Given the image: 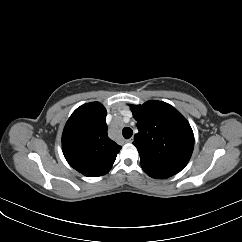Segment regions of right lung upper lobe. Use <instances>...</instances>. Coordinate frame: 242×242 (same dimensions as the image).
I'll return each instance as SVG.
<instances>
[{"instance_id": "right-lung-upper-lobe-1", "label": "right lung upper lobe", "mask_w": 242, "mask_h": 242, "mask_svg": "<svg viewBox=\"0 0 242 242\" xmlns=\"http://www.w3.org/2000/svg\"><path fill=\"white\" fill-rule=\"evenodd\" d=\"M107 111L99 102L78 107L68 119L62 135L67 162L88 177L106 174L122 148L107 135Z\"/></svg>"}]
</instances>
